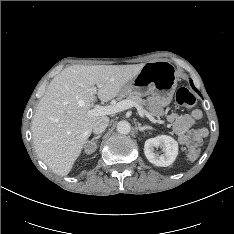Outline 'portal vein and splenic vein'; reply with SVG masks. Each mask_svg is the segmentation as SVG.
<instances>
[{"mask_svg":"<svg viewBox=\"0 0 234 234\" xmlns=\"http://www.w3.org/2000/svg\"><path fill=\"white\" fill-rule=\"evenodd\" d=\"M96 90H97V87L91 88L92 92H96ZM132 107H136L140 117L144 118L146 114L145 110L138 104L129 100H122L118 103L107 105V106H100L99 104H96L94 105V108L88 112V114L91 116L111 115L120 111L130 109Z\"/></svg>","mask_w":234,"mask_h":234,"instance_id":"portal-vein-and-splenic-vein-1","label":"portal vein and splenic vein"}]
</instances>
